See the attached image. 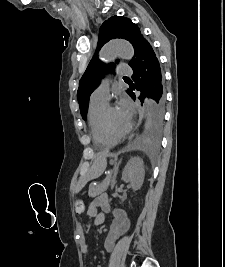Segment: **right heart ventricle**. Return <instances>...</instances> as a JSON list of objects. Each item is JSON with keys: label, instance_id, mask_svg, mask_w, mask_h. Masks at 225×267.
<instances>
[{"label": "right heart ventricle", "instance_id": "obj_1", "mask_svg": "<svg viewBox=\"0 0 225 267\" xmlns=\"http://www.w3.org/2000/svg\"><path fill=\"white\" fill-rule=\"evenodd\" d=\"M107 102L90 100L88 108V125L93 142L99 147H109L116 142L107 137L101 127V114Z\"/></svg>", "mask_w": 225, "mask_h": 267}]
</instances>
